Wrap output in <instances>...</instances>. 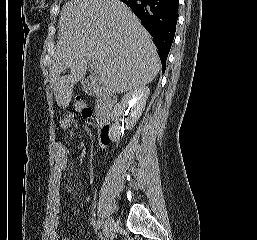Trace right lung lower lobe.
<instances>
[{"label": "right lung lower lobe", "instance_id": "right-lung-lower-lobe-1", "mask_svg": "<svg viewBox=\"0 0 257 240\" xmlns=\"http://www.w3.org/2000/svg\"><path fill=\"white\" fill-rule=\"evenodd\" d=\"M141 20L153 37L159 51L163 71L170 51L178 20L179 0H121Z\"/></svg>", "mask_w": 257, "mask_h": 240}]
</instances>
